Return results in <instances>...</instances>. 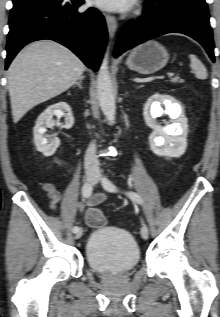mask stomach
<instances>
[{
    "mask_svg": "<svg viewBox=\"0 0 220 317\" xmlns=\"http://www.w3.org/2000/svg\"><path fill=\"white\" fill-rule=\"evenodd\" d=\"M168 60L169 54L165 47L157 41L149 40L131 51L126 65L132 71L149 75L165 67Z\"/></svg>",
    "mask_w": 220,
    "mask_h": 317,
    "instance_id": "stomach-1",
    "label": "stomach"
}]
</instances>
